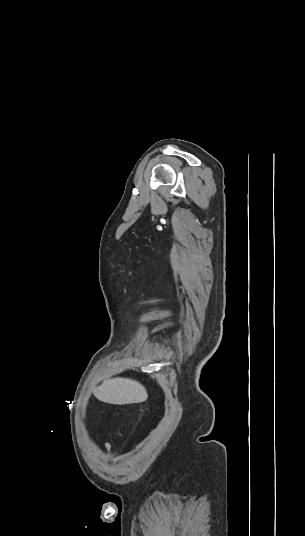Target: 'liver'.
<instances>
[{"label":"liver","instance_id":"1","mask_svg":"<svg viewBox=\"0 0 305 536\" xmlns=\"http://www.w3.org/2000/svg\"><path fill=\"white\" fill-rule=\"evenodd\" d=\"M94 396L106 404H141L148 398V394L139 382L128 378H113L104 380L101 386L95 388Z\"/></svg>","mask_w":305,"mask_h":536}]
</instances>
